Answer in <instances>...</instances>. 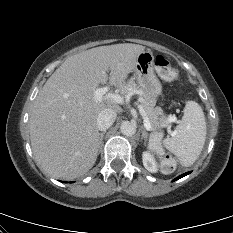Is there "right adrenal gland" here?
<instances>
[{
  "mask_svg": "<svg viewBox=\"0 0 233 233\" xmlns=\"http://www.w3.org/2000/svg\"><path fill=\"white\" fill-rule=\"evenodd\" d=\"M105 133H106V132L104 131V132H102V133L100 134V144H102L103 137H104Z\"/></svg>",
  "mask_w": 233,
  "mask_h": 233,
  "instance_id": "2a0ac1e0",
  "label": "right adrenal gland"
}]
</instances>
